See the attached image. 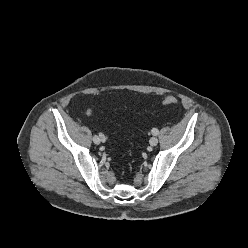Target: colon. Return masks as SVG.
Masks as SVG:
<instances>
[{"mask_svg": "<svg viewBox=\"0 0 248 248\" xmlns=\"http://www.w3.org/2000/svg\"><path fill=\"white\" fill-rule=\"evenodd\" d=\"M178 103V99L174 96H167L163 99L162 104L165 106L175 105ZM91 110L89 111V114H91Z\"/></svg>", "mask_w": 248, "mask_h": 248, "instance_id": "5ec220e1", "label": "colon"}]
</instances>
